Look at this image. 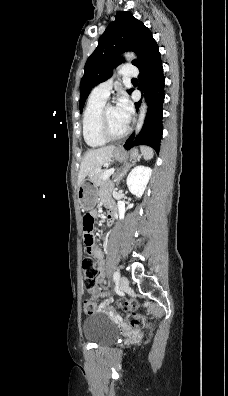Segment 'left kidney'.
<instances>
[{"instance_id":"5707ae66","label":"left kidney","mask_w":228,"mask_h":396,"mask_svg":"<svg viewBox=\"0 0 228 396\" xmlns=\"http://www.w3.org/2000/svg\"><path fill=\"white\" fill-rule=\"evenodd\" d=\"M152 175V169L143 165L136 166L127 176V186L129 191L137 198H140Z\"/></svg>"}]
</instances>
